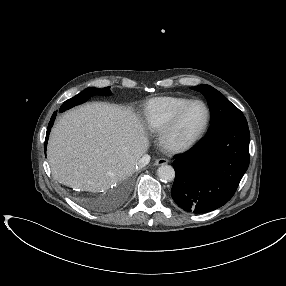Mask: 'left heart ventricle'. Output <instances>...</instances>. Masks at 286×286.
<instances>
[{
	"label": "left heart ventricle",
	"mask_w": 286,
	"mask_h": 286,
	"mask_svg": "<svg viewBox=\"0 0 286 286\" xmlns=\"http://www.w3.org/2000/svg\"><path fill=\"white\" fill-rule=\"evenodd\" d=\"M206 122V110L203 105H193L184 115L180 124L173 133V140L177 143L185 142L204 127Z\"/></svg>",
	"instance_id": "b2bd125f"
}]
</instances>
